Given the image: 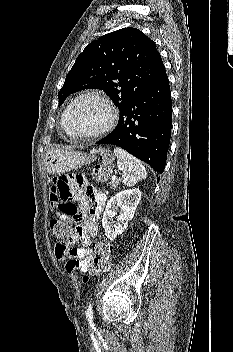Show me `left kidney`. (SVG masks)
<instances>
[{
    "label": "left kidney",
    "instance_id": "1",
    "mask_svg": "<svg viewBox=\"0 0 233 352\" xmlns=\"http://www.w3.org/2000/svg\"><path fill=\"white\" fill-rule=\"evenodd\" d=\"M140 199L141 191L133 188L120 191L108 201L102 218V226L108 239L114 240L124 232L134 216ZM114 217L117 221H114Z\"/></svg>",
    "mask_w": 233,
    "mask_h": 352
}]
</instances>
